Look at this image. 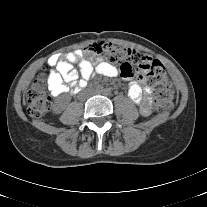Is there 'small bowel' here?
Masks as SVG:
<instances>
[{
  "instance_id": "c3829d8e",
  "label": "small bowel",
  "mask_w": 207,
  "mask_h": 207,
  "mask_svg": "<svg viewBox=\"0 0 207 207\" xmlns=\"http://www.w3.org/2000/svg\"><path fill=\"white\" fill-rule=\"evenodd\" d=\"M48 65L55 68L49 75V87L53 95H75L86 87L87 81L95 74L113 78L119 74L117 67L100 59L95 63L93 56L85 58L82 50H75L64 54H54L47 61ZM77 65L79 71L74 69ZM131 78V77H130ZM129 79V78H128ZM144 78L139 76L138 81H132L129 85L128 95L136 103L144 116L151 113L150 94L151 88L142 87L140 83Z\"/></svg>"
}]
</instances>
